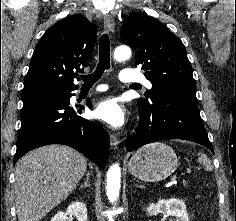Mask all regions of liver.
I'll return each instance as SVG.
<instances>
[{"instance_id": "6515ba94", "label": "liver", "mask_w": 236, "mask_h": 221, "mask_svg": "<svg viewBox=\"0 0 236 221\" xmlns=\"http://www.w3.org/2000/svg\"><path fill=\"white\" fill-rule=\"evenodd\" d=\"M86 168V158L66 146H44L22 157L14 185L18 220L40 221L72 193Z\"/></svg>"}]
</instances>
